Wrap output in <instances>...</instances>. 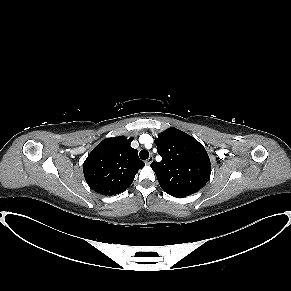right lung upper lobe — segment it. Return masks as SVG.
<instances>
[{
  "mask_svg": "<svg viewBox=\"0 0 291 291\" xmlns=\"http://www.w3.org/2000/svg\"><path fill=\"white\" fill-rule=\"evenodd\" d=\"M132 140L124 136L107 138L91 151L83 165L85 180L91 189L111 196L132 184L135 174L145 166L138 151L130 146Z\"/></svg>",
  "mask_w": 291,
  "mask_h": 291,
  "instance_id": "right-lung-upper-lobe-1",
  "label": "right lung upper lobe"
}]
</instances>
